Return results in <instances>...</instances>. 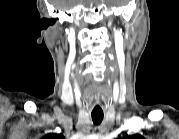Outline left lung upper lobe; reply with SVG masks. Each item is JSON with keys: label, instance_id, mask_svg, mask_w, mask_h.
<instances>
[{"label": "left lung upper lobe", "instance_id": "obj_1", "mask_svg": "<svg viewBox=\"0 0 179 139\" xmlns=\"http://www.w3.org/2000/svg\"><path fill=\"white\" fill-rule=\"evenodd\" d=\"M137 135H133V136H125L124 139H134Z\"/></svg>", "mask_w": 179, "mask_h": 139}]
</instances>
